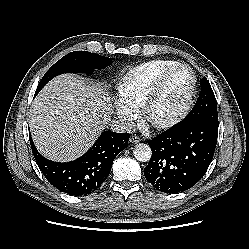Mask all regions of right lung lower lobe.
<instances>
[{
    "label": "right lung lower lobe",
    "mask_w": 249,
    "mask_h": 249,
    "mask_svg": "<svg viewBox=\"0 0 249 249\" xmlns=\"http://www.w3.org/2000/svg\"><path fill=\"white\" fill-rule=\"evenodd\" d=\"M129 133L103 132L94 145L71 162L44 158L29 140L35 160L50 184L69 195L82 196L96 191L108 177L115 157L127 147Z\"/></svg>",
    "instance_id": "98d812e1"
}]
</instances>
